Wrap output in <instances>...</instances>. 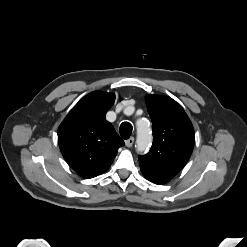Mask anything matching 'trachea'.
I'll list each match as a JSON object with an SVG mask.
<instances>
[{"instance_id":"obj_1","label":"trachea","mask_w":247,"mask_h":247,"mask_svg":"<svg viewBox=\"0 0 247 247\" xmlns=\"http://www.w3.org/2000/svg\"><path fill=\"white\" fill-rule=\"evenodd\" d=\"M132 125L129 122H123L120 125V135L123 139H128L132 133Z\"/></svg>"}]
</instances>
